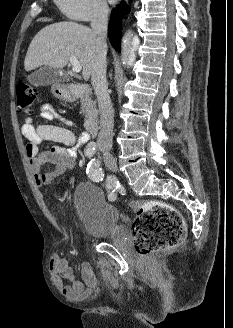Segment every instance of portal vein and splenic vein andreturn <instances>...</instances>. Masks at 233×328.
I'll use <instances>...</instances> for the list:
<instances>
[{"label": "portal vein and splenic vein", "instance_id": "portal-vein-and-splenic-vein-1", "mask_svg": "<svg viewBox=\"0 0 233 328\" xmlns=\"http://www.w3.org/2000/svg\"><path fill=\"white\" fill-rule=\"evenodd\" d=\"M70 63L72 65V71L74 73H79L82 70V66L75 56L70 57Z\"/></svg>", "mask_w": 233, "mask_h": 328}]
</instances>
